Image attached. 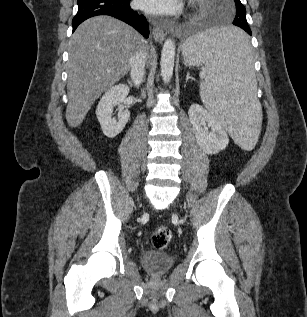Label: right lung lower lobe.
Instances as JSON below:
<instances>
[{
    "instance_id": "98d812e1",
    "label": "right lung lower lobe",
    "mask_w": 307,
    "mask_h": 317,
    "mask_svg": "<svg viewBox=\"0 0 307 317\" xmlns=\"http://www.w3.org/2000/svg\"><path fill=\"white\" fill-rule=\"evenodd\" d=\"M130 0H78V12L72 20L73 31L84 20L98 15H109L134 27L146 38L149 36L145 17L131 9Z\"/></svg>"
}]
</instances>
